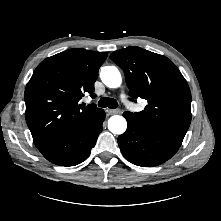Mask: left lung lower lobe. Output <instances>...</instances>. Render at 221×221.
Listing matches in <instances>:
<instances>
[{"label":"left lung lower lobe","mask_w":221,"mask_h":221,"mask_svg":"<svg viewBox=\"0 0 221 221\" xmlns=\"http://www.w3.org/2000/svg\"><path fill=\"white\" fill-rule=\"evenodd\" d=\"M128 127L124 134L118 137V144L123 156L131 163L153 167L170 159L179 147L159 142L146 134L125 113Z\"/></svg>","instance_id":"1"}]
</instances>
